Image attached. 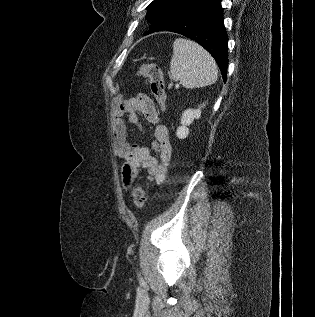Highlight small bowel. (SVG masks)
<instances>
[{
  "mask_svg": "<svg viewBox=\"0 0 315 317\" xmlns=\"http://www.w3.org/2000/svg\"><path fill=\"white\" fill-rule=\"evenodd\" d=\"M139 115L149 125L154 126L153 141L150 146L128 140V128L124 117L141 130ZM111 128L114 135L113 152L124 160L122 168L124 185L128 186L137 177L140 168L147 169L148 181L162 183L170 166L172 146L168 129L160 123L153 101L147 95H139L124 102L114 110Z\"/></svg>",
  "mask_w": 315,
  "mask_h": 317,
  "instance_id": "c3829d8e",
  "label": "small bowel"
}]
</instances>
